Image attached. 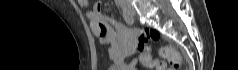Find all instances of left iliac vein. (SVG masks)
I'll return each mask as SVG.
<instances>
[{
  "instance_id": "obj_1",
  "label": "left iliac vein",
  "mask_w": 238,
  "mask_h": 70,
  "mask_svg": "<svg viewBox=\"0 0 238 70\" xmlns=\"http://www.w3.org/2000/svg\"><path fill=\"white\" fill-rule=\"evenodd\" d=\"M129 13H130L131 15H135V10H134L132 7H130V8H129Z\"/></svg>"
}]
</instances>
